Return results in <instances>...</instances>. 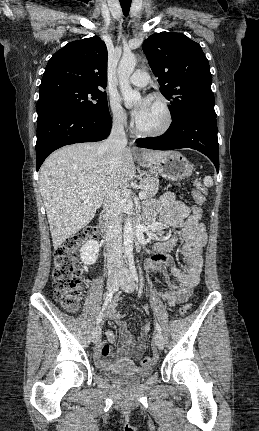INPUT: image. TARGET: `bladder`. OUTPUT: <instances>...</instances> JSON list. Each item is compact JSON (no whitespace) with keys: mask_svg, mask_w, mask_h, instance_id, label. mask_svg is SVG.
<instances>
[{"mask_svg":"<svg viewBox=\"0 0 259 431\" xmlns=\"http://www.w3.org/2000/svg\"><path fill=\"white\" fill-rule=\"evenodd\" d=\"M105 376L120 382H135L147 378L153 373L151 368H138L132 363L119 362L101 369Z\"/></svg>","mask_w":259,"mask_h":431,"instance_id":"31cf9c89","label":"bladder"}]
</instances>
